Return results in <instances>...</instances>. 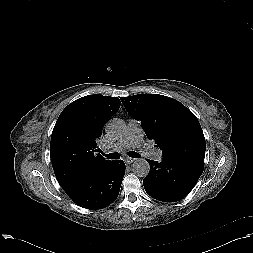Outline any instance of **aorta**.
<instances>
[{"label":"aorta","mask_w":253,"mask_h":253,"mask_svg":"<svg viewBox=\"0 0 253 253\" xmlns=\"http://www.w3.org/2000/svg\"><path fill=\"white\" fill-rule=\"evenodd\" d=\"M124 129L125 123L122 120L118 119L110 120L105 126L106 133L112 136L120 135L124 131ZM132 167L133 173L138 177H145L150 171L148 161L143 158L135 160Z\"/></svg>","instance_id":"762f6f07"}]
</instances>
